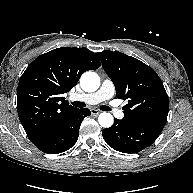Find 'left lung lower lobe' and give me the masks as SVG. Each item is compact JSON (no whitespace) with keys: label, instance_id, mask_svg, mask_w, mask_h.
<instances>
[{"label":"left lung lower lobe","instance_id":"obj_1","mask_svg":"<svg viewBox=\"0 0 193 193\" xmlns=\"http://www.w3.org/2000/svg\"><path fill=\"white\" fill-rule=\"evenodd\" d=\"M165 122L126 124L115 119L113 126L102 131L105 142L123 153H137L151 145L160 135Z\"/></svg>","mask_w":193,"mask_h":193}]
</instances>
